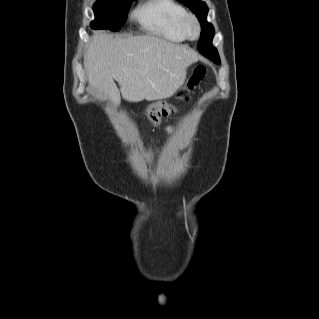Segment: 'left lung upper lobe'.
Listing matches in <instances>:
<instances>
[{"mask_svg":"<svg viewBox=\"0 0 319 319\" xmlns=\"http://www.w3.org/2000/svg\"><path fill=\"white\" fill-rule=\"evenodd\" d=\"M178 1L186 5L193 13H195L198 20L201 22L202 31L200 35V41L198 43V50L201 51V49H199V45H201L202 49L208 52L210 55H213V56L218 55L217 50L212 45H208L210 41L212 42V39L214 36V28L206 20L207 13H208L207 5L201 0H178ZM216 63L220 64V58L218 59Z\"/></svg>","mask_w":319,"mask_h":319,"instance_id":"5c2ea615","label":"left lung upper lobe"}]
</instances>
